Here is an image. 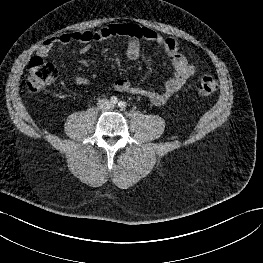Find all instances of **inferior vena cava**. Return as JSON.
I'll use <instances>...</instances> for the list:
<instances>
[{"label": "inferior vena cava", "mask_w": 263, "mask_h": 263, "mask_svg": "<svg viewBox=\"0 0 263 263\" xmlns=\"http://www.w3.org/2000/svg\"><path fill=\"white\" fill-rule=\"evenodd\" d=\"M97 106L101 110H109L113 107L112 103L108 99H100Z\"/></svg>", "instance_id": "602c4592"}]
</instances>
